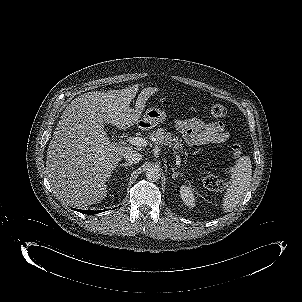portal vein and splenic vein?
<instances>
[{"mask_svg":"<svg viewBox=\"0 0 302 302\" xmlns=\"http://www.w3.org/2000/svg\"><path fill=\"white\" fill-rule=\"evenodd\" d=\"M127 142H129L130 144L135 145L137 147H144L147 145V140H145L141 137H129V138H127ZM177 162H179L178 158H177Z\"/></svg>","mask_w":302,"mask_h":302,"instance_id":"obj_1","label":"portal vein and splenic vein"}]
</instances>
